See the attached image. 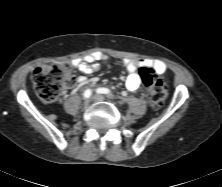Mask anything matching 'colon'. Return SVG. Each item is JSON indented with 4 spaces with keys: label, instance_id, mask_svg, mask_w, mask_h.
Segmentation results:
<instances>
[{
    "label": "colon",
    "instance_id": "5ec220e1",
    "mask_svg": "<svg viewBox=\"0 0 222 187\" xmlns=\"http://www.w3.org/2000/svg\"><path fill=\"white\" fill-rule=\"evenodd\" d=\"M139 75L152 107H161L167 97L164 80L146 67L140 69ZM32 80L37 96L43 102L51 103L57 100L63 87L71 84L74 78L68 64L49 62L34 69Z\"/></svg>",
    "mask_w": 222,
    "mask_h": 187
}]
</instances>
